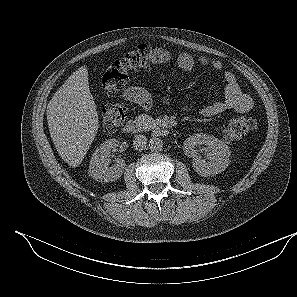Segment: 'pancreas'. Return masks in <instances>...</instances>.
I'll use <instances>...</instances> for the list:
<instances>
[{"label":"pancreas","instance_id":"cf45deb5","mask_svg":"<svg viewBox=\"0 0 297 297\" xmlns=\"http://www.w3.org/2000/svg\"><path fill=\"white\" fill-rule=\"evenodd\" d=\"M136 120L141 124L143 130H150L156 127L155 120L149 115H139Z\"/></svg>","mask_w":297,"mask_h":297}]
</instances>
